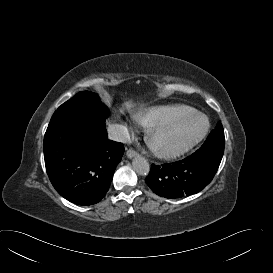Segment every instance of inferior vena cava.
<instances>
[{
	"label": "inferior vena cava",
	"instance_id": "1",
	"mask_svg": "<svg viewBox=\"0 0 273 273\" xmlns=\"http://www.w3.org/2000/svg\"><path fill=\"white\" fill-rule=\"evenodd\" d=\"M108 136L109 139L126 143L129 140V132L126 127L113 124L108 127Z\"/></svg>",
	"mask_w": 273,
	"mask_h": 273
}]
</instances>
